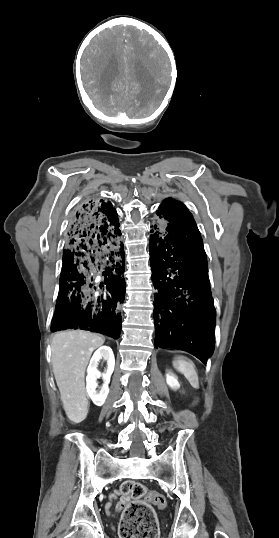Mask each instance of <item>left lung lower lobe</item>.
Here are the masks:
<instances>
[{
    "mask_svg": "<svg viewBox=\"0 0 279 538\" xmlns=\"http://www.w3.org/2000/svg\"><path fill=\"white\" fill-rule=\"evenodd\" d=\"M149 246L155 347L184 350L206 364L214 350L216 311L199 230L154 225Z\"/></svg>",
    "mask_w": 279,
    "mask_h": 538,
    "instance_id": "1",
    "label": "left lung lower lobe"
}]
</instances>
